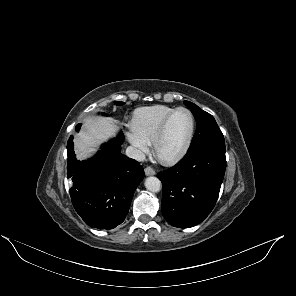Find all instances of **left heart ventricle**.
<instances>
[{
	"label": "left heart ventricle",
	"mask_w": 296,
	"mask_h": 296,
	"mask_svg": "<svg viewBox=\"0 0 296 296\" xmlns=\"http://www.w3.org/2000/svg\"><path fill=\"white\" fill-rule=\"evenodd\" d=\"M191 129V117L185 111L177 112L171 119L165 135L158 147V155L169 158L177 154L185 145Z\"/></svg>",
	"instance_id": "obj_1"
}]
</instances>
